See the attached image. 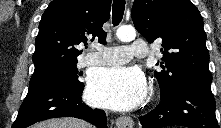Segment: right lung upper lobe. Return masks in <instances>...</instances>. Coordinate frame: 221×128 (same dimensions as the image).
Masks as SVG:
<instances>
[{"label":"right lung upper lobe","mask_w":221,"mask_h":128,"mask_svg":"<svg viewBox=\"0 0 221 128\" xmlns=\"http://www.w3.org/2000/svg\"><path fill=\"white\" fill-rule=\"evenodd\" d=\"M111 0H53L42 15L35 40L34 75L76 65V46L98 38L105 42L103 24L110 18Z\"/></svg>","instance_id":"obj_1"}]
</instances>
